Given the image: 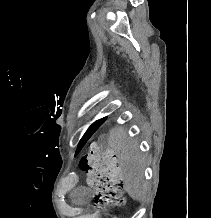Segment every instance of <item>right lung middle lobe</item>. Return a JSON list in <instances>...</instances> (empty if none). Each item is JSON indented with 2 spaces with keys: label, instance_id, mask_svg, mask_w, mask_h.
Returning a JSON list of instances; mask_svg holds the SVG:
<instances>
[{
  "label": "right lung middle lobe",
  "instance_id": "right-lung-middle-lobe-1",
  "mask_svg": "<svg viewBox=\"0 0 211 218\" xmlns=\"http://www.w3.org/2000/svg\"><path fill=\"white\" fill-rule=\"evenodd\" d=\"M106 118H103V119H100L98 121H96L87 131V135H92L96 130L97 128L105 121Z\"/></svg>",
  "mask_w": 211,
  "mask_h": 218
}]
</instances>
